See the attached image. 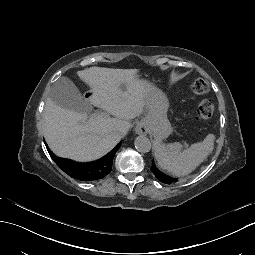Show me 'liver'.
I'll return each mask as SVG.
<instances>
[{
    "instance_id": "obj_1",
    "label": "liver",
    "mask_w": 255,
    "mask_h": 255,
    "mask_svg": "<svg viewBox=\"0 0 255 255\" xmlns=\"http://www.w3.org/2000/svg\"><path fill=\"white\" fill-rule=\"evenodd\" d=\"M137 69L90 67L77 72L93 92L90 103L114 116L98 115L87 122L84 113L64 109L48 97L43 114V135L57 156L78 162L100 159L120 141L116 126L143 112V107L159 99L158 111L166 115V95L137 78ZM122 85L125 86L123 90Z\"/></svg>"
}]
</instances>
